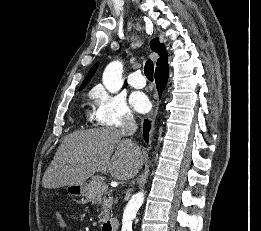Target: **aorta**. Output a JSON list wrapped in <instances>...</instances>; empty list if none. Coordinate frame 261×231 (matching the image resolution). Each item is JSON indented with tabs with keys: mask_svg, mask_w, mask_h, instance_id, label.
Listing matches in <instances>:
<instances>
[{
	"mask_svg": "<svg viewBox=\"0 0 261 231\" xmlns=\"http://www.w3.org/2000/svg\"><path fill=\"white\" fill-rule=\"evenodd\" d=\"M123 65L119 61L111 62L104 70L102 82L106 89L115 93L122 87ZM144 200V192L140 191L132 196L127 203L122 219L121 231H132V222Z\"/></svg>",
	"mask_w": 261,
	"mask_h": 231,
	"instance_id": "aorta-1",
	"label": "aorta"
}]
</instances>
